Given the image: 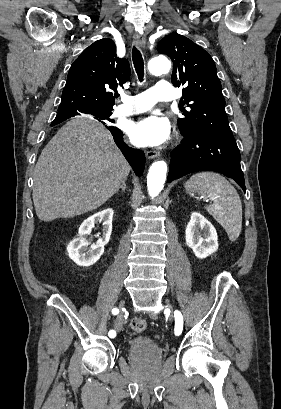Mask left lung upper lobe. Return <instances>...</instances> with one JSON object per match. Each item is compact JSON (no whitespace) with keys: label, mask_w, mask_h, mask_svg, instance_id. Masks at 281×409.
<instances>
[{"label":"left lung upper lobe","mask_w":281,"mask_h":409,"mask_svg":"<svg viewBox=\"0 0 281 409\" xmlns=\"http://www.w3.org/2000/svg\"><path fill=\"white\" fill-rule=\"evenodd\" d=\"M158 52L173 61L172 83L184 86L181 110L184 118L178 119L181 134L199 130L233 136L225 112V99L215 63L212 57L190 39L179 34L164 37L158 44Z\"/></svg>","instance_id":"1"}]
</instances>
